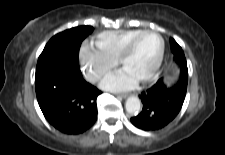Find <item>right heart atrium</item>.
Wrapping results in <instances>:
<instances>
[{
  "label": "right heart atrium",
  "instance_id": "d8ad5b80",
  "mask_svg": "<svg viewBox=\"0 0 225 155\" xmlns=\"http://www.w3.org/2000/svg\"><path fill=\"white\" fill-rule=\"evenodd\" d=\"M79 62L84 76L92 83H96L106 76L117 64L98 49L83 44L79 51Z\"/></svg>",
  "mask_w": 225,
  "mask_h": 155
}]
</instances>
